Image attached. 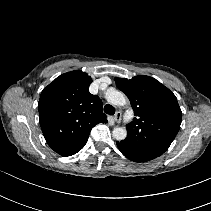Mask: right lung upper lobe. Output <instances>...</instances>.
Returning a JSON list of instances; mask_svg holds the SVG:
<instances>
[{
    "label": "right lung upper lobe",
    "instance_id": "cb5924a9",
    "mask_svg": "<svg viewBox=\"0 0 211 211\" xmlns=\"http://www.w3.org/2000/svg\"><path fill=\"white\" fill-rule=\"evenodd\" d=\"M91 82L87 73L75 70L60 75L41 92L42 132L48 145L62 156L80 151L91 128L107 122L101 99L89 92Z\"/></svg>",
    "mask_w": 211,
    "mask_h": 211
}]
</instances>
